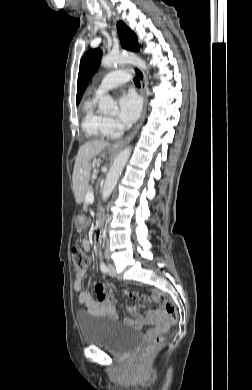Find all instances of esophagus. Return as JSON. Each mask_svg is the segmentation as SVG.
Here are the masks:
<instances>
[{
	"label": "esophagus",
	"instance_id": "34e87169",
	"mask_svg": "<svg viewBox=\"0 0 252 390\" xmlns=\"http://www.w3.org/2000/svg\"><path fill=\"white\" fill-rule=\"evenodd\" d=\"M133 70L141 82V93L145 99L144 108H143V112H142V116L140 118V121L138 122V124L136 125L134 130L126 138L116 142L113 145L114 148L123 147L134 138V136L136 135V133L138 132V130L142 126V124L145 120V117H146V113H147V80H146V76H145L144 72L138 67H133Z\"/></svg>",
	"mask_w": 252,
	"mask_h": 390
}]
</instances>
